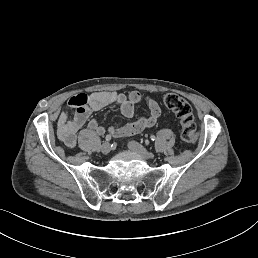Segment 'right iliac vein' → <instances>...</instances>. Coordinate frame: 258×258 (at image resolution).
<instances>
[{
    "label": "right iliac vein",
    "instance_id": "63e3f726",
    "mask_svg": "<svg viewBox=\"0 0 258 258\" xmlns=\"http://www.w3.org/2000/svg\"><path fill=\"white\" fill-rule=\"evenodd\" d=\"M100 151H101V153L104 154V155L109 154L110 151H111V144H110L109 142H104V143L101 145Z\"/></svg>",
    "mask_w": 258,
    "mask_h": 258
}]
</instances>
